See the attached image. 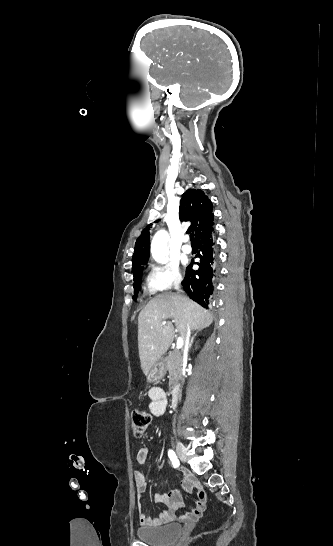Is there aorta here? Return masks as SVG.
Wrapping results in <instances>:
<instances>
[{
  "label": "aorta",
  "mask_w": 333,
  "mask_h": 546,
  "mask_svg": "<svg viewBox=\"0 0 333 546\" xmlns=\"http://www.w3.org/2000/svg\"><path fill=\"white\" fill-rule=\"evenodd\" d=\"M169 235L167 231L160 230L158 231L151 243V255L155 261L158 263H166V253H167V241Z\"/></svg>",
  "instance_id": "762f6f07"
}]
</instances>
